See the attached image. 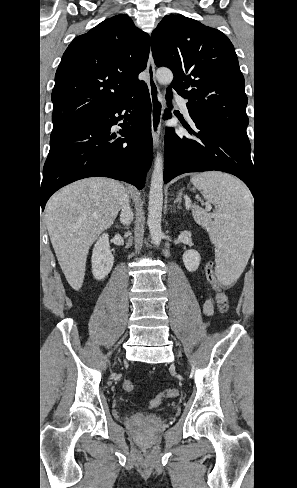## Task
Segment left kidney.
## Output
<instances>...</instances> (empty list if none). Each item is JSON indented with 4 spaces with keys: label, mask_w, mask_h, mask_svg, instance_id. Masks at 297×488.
<instances>
[{
    "label": "left kidney",
    "mask_w": 297,
    "mask_h": 488,
    "mask_svg": "<svg viewBox=\"0 0 297 488\" xmlns=\"http://www.w3.org/2000/svg\"><path fill=\"white\" fill-rule=\"evenodd\" d=\"M182 258L184 265L189 272H194L198 269L201 257L196 250L185 251Z\"/></svg>",
    "instance_id": "left-kidney-1"
}]
</instances>
